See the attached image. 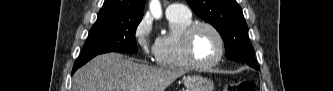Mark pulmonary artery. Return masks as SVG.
Returning a JSON list of instances; mask_svg holds the SVG:
<instances>
[{
  "mask_svg": "<svg viewBox=\"0 0 333 91\" xmlns=\"http://www.w3.org/2000/svg\"><path fill=\"white\" fill-rule=\"evenodd\" d=\"M167 15H190V10L183 4H171L166 9Z\"/></svg>",
  "mask_w": 333,
  "mask_h": 91,
  "instance_id": "pulmonary-artery-1",
  "label": "pulmonary artery"
}]
</instances>
